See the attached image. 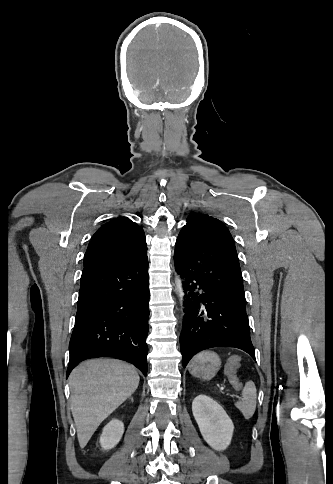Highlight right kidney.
I'll return each mask as SVG.
<instances>
[{
    "label": "right kidney",
    "instance_id": "right-kidney-1",
    "mask_svg": "<svg viewBox=\"0 0 333 484\" xmlns=\"http://www.w3.org/2000/svg\"><path fill=\"white\" fill-rule=\"evenodd\" d=\"M124 432V424L118 419H113L104 428L100 436V444L104 450L112 449L121 439Z\"/></svg>",
    "mask_w": 333,
    "mask_h": 484
}]
</instances>
